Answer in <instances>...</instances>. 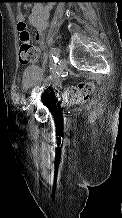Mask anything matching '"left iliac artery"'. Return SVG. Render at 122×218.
Masks as SVG:
<instances>
[{"label": "left iliac artery", "mask_w": 122, "mask_h": 218, "mask_svg": "<svg viewBox=\"0 0 122 218\" xmlns=\"http://www.w3.org/2000/svg\"><path fill=\"white\" fill-rule=\"evenodd\" d=\"M50 55L54 61V63L56 64L58 62L59 56H60V52L57 48H51L50 50ZM53 79V75L51 74L43 83V85L40 87L39 89V94H41L51 83V80ZM36 94H33L30 98H28L25 102H24V106H23V110H26L28 108V106L34 101Z\"/></svg>", "instance_id": "obj_1"}]
</instances>
